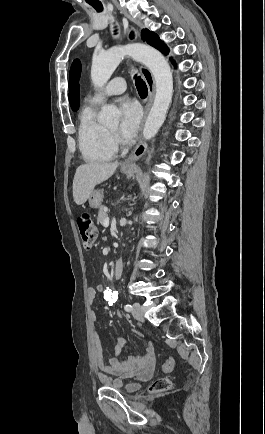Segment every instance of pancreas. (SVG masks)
Returning <instances> with one entry per match:
<instances>
[{
    "instance_id": "obj_1",
    "label": "pancreas",
    "mask_w": 265,
    "mask_h": 434,
    "mask_svg": "<svg viewBox=\"0 0 265 434\" xmlns=\"http://www.w3.org/2000/svg\"><path fill=\"white\" fill-rule=\"evenodd\" d=\"M108 216V212H105V206H99L97 224H104V220H106Z\"/></svg>"
}]
</instances>
